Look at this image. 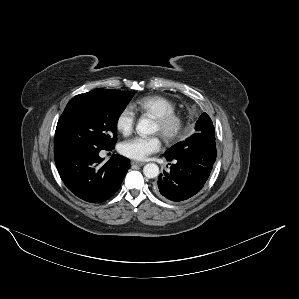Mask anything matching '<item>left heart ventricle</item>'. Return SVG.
<instances>
[{"instance_id":"obj_1","label":"left heart ventricle","mask_w":299,"mask_h":299,"mask_svg":"<svg viewBox=\"0 0 299 299\" xmlns=\"http://www.w3.org/2000/svg\"><path fill=\"white\" fill-rule=\"evenodd\" d=\"M153 132H160V126L158 125L157 122H154Z\"/></svg>"}]
</instances>
